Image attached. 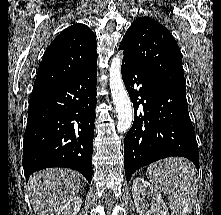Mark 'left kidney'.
I'll use <instances>...</instances> for the list:
<instances>
[{"instance_id":"left-kidney-1","label":"left kidney","mask_w":221,"mask_h":215,"mask_svg":"<svg viewBox=\"0 0 221 215\" xmlns=\"http://www.w3.org/2000/svg\"><path fill=\"white\" fill-rule=\"evenodd\" d=\"M132 194L139 215H169L161 194L144 178L134 179ZM146 196L151 199L150 203L145 199Z\"/></svg>"}]
</instances>
